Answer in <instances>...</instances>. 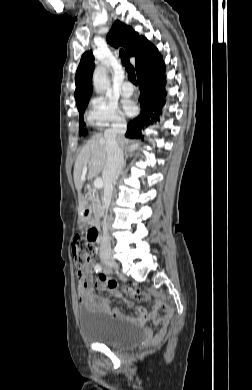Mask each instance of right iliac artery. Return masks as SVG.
Segmentation results:
<instances>
[{
	"instance_id": "obj_1",
	"label": "right iliac artery",
	"mask_w": 252,
	"mask_h": 390,
	"mask_svg": "<svg viewBox=\"0 0 252 390\" xmlns=\"http://www.w3.org/2000/svg\"><path fill=\"white\" fill-rule=\"evenodd\" d=\"M101 270H102L101 265H100V264H96V266H95V271H96V272H101Z\"/></svg>"
}]
</instances>
